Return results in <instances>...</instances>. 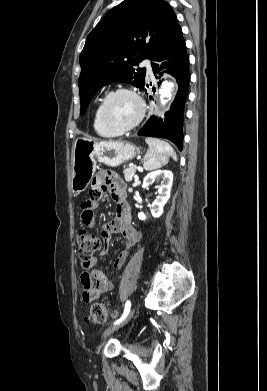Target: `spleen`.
Masks as SVG:
<instances>
[{
    "label": "spleen",
    "mask_w": 267,
    "mask_h": 391,
    "mask_svg": "<svg viewBox=\"0 0 267 391\" xmlns=\"http://www.w3.org/2000/svg\"><path fill=\"white\" fill-rule=\"evenodd\" d=\"M148 150L143 158V167L146 171L161 168L169 162V158L177 159L176 152L172 146L157 138H146Z\"/></svg>",
    "instance_id": "obj_1"
}]
</instances>
